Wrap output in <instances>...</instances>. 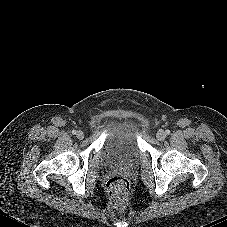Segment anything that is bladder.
I'll use <instances>...</instances> for the list:
<instances>
[{"label": "bladder", "mask_w": 227, "mask_h": 227, "mask_svg": "<svg viewBox=\"0 0 227 227\" xmlns=\"http://www.w3.org/2000/svg\"><path fill=\"white\" fill-rule=\"evenodd\" d=\"M108 133L104 153L110 162L132 164L138 157L136 126L133 121L123 117H109L104 122Z\"/></svg>", "instance_id": "31cf9c89"}]
</instances>
